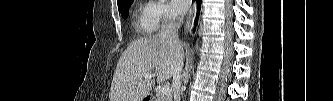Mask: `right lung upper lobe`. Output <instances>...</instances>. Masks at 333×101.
I'll return each mask as SVG.
<instances>
[{
    "label": "right lung upper lobe",
    "mask_w": 333,
    "mask_h": 101,
    "mask_svg": "<svg viewBox=\"0 0 333 101\" xmlns=\"http://www.w3.org/2000/svg\"><path fill=\"white\" fill-rule=\"evenodd\" d=\"M123 1H125V0H117L118 4L121 3V2H123Z\"/></svg>",
    "instance_id": "1"
}]
</instances>
